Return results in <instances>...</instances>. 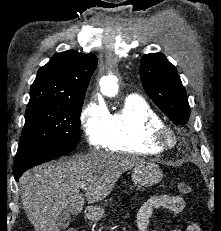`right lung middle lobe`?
I'll return each instance as SVG.
<instances>
[{
    "mask_svg": "<svg viewBox=\"0 0 221 231\" xmlns=\"http://www.w3.org/2000/svg\"><path fill=\"white\" fill-rule=\"evenodd\" d=\"M84 98L28 104L20 145L14 160L49 149L76 148Z\"/></svg>",
    "mask_w": 221,
    "mask_h": 231,
    "instance_id": "dd1d6c3e",
    "label": "right lung middle lobe"
}]
</instances>
